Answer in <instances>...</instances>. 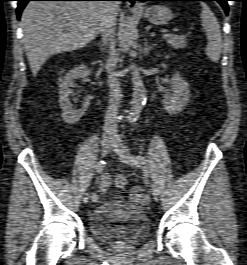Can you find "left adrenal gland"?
Instances as JSON below:
<instances>
[{
  "label": "left adrenal gland",
  "instance_id": "obj_1",
  "mask_svg": "<svg viewBox=\"0 0 247 265\" xmlns=\"http://www.w3.org/2000/svg\"><path fill=\"white\" fill-rule=\"evenodd\" d=\"M154 48V44L153 45H149L147 39H145V43H144V48H143V53L145 56L149 55L150 51Z\"/></svg>",
  "mask_w": 247,
  "mask_h": 265
}]
</instances>
